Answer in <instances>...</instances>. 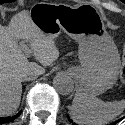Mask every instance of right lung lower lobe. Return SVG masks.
<instances>
[{
  "label": "right lung lower lobe",
  "mask_w": 125,
  "mask_h": 125,
  "mask_svg": "<svg viewBox=\"0 0 125 125\" xmlns=\"http://www.w3.org/2000/svg\"><path fill=\"white\" fill-rule=\"evenodd\" d=\"M21 112L22 111H19L18 114H16L15 116H12V117H5V118L2 117V118H0V124L12 122L14 119H16L20 115Z\"/></svg>",
  "instance_id": "obj_1"
}]
</instances>
